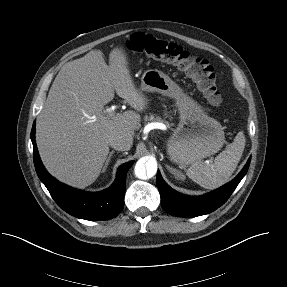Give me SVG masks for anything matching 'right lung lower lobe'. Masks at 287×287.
I'll use <instances>...</instances> for the list:
<instances>
[{
    "label": "right lung lower lobe",
    "instance_id": "98d812e1",
    "mask_svg": "<svg viewBox=\"0 0 287 287\" xmlns=\"http://www.w3.org/2000/svg\"><path fill=\"white\" fill-rule=\"evenodd\" d=\"M33 160L37 175L46 186L55 202L67 213L91 221L116 217L123 209L126 174L134 163L130 161L118 168L117 176L108 189L100 192H85L64 185L52 177L44 168L35 142V121L31 131Z\"/></svg>",
    "mask_w": 287,
    "mask_h": 287
}]
</instances>
